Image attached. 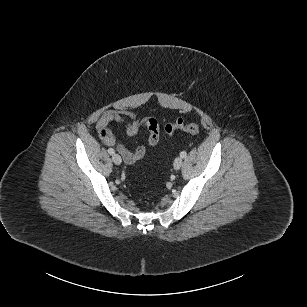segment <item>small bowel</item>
<instances>
[{"label": "small bowel", "instance_id": "1", "mask_svg": "<svg viewBox=\"0 0 307 307\" xmlns=\"http://www.w3.org/2000/svg\"><path fill=\"white\" fill-rule=\"evenodd\" d=\"M114 122L124 123L126 133L130 136L136 135L140 129L146 128L149 132L148 145L150 147L157 145L159 142L160 129L156 119L151 117L137 119L136 115L129 110L106 111L96 124L98 135L105 145L115 146L128 164L142 159L146 154V147L142 145L130 150L124 144L117 142L110 130V125Z\"/></svg>", "mask_w": 307, "mask_h": 307}]
</instances>
